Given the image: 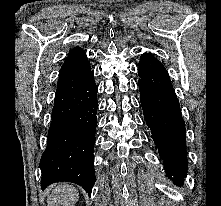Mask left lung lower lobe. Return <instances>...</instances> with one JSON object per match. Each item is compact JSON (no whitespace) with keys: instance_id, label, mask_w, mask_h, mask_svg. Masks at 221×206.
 <instances>
[{"instance_id":"obj_1","label":"left lung lower lobe","mask_w":221,"mask_h":206,"mask_svg":"<svg viewBox=\"0 0 221 206\" xmlns=\"http://www.w3.org/2000/svg\"><path fill=\"white\" fill-rule=\"evenodd\" d=\"M139 90L144 119L152 138L165 160L167 175L176 184L186 175L185 123L179 101L168 73L138 69Z\"/></svg>"}]
</instances>
